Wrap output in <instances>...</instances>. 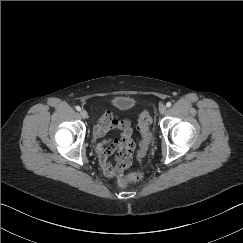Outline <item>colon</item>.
<instances>
[{"label": "colon", "mask_w": 243, "mask_h": 243, "mask_svg": "<svg viewBox=\"0 0 243 243\" xmlns=\"http://www.w3.org/2000/svg\"><path fill=\"white\" fill-rule=\"evenodd\" d=\"M150 125H151V117L148 111H143L139 117V121L137 125V129L141 135L140 145L142 149L140 154H144L151 144L152 134L150 130ZM143 175L144 174L141 169L131 171L126 175H123L122 177L118 178L117 185L120 187H125L132 182L142 179Z\"/></svg>", "instance_id": "1"}]
</instances>
